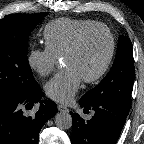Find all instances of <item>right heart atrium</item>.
<instances>
[{
	"mask_svg": "<svg viewBox=\"0 0 144 144\" xmlns=\"http://www.w3.org/2000/svg\"><path fill=\"white\" fill-rule=\"evenodd\" d=\"M28 66L40 76H47L54 71L59 63V57L46 46L32 48L27 54Z\"/></svg>",
	"mask_w": 144,
	"mask_h": 144,
	"instance_id": "obj_1",
	"label": "right heart atrium"
}]
</instances>
